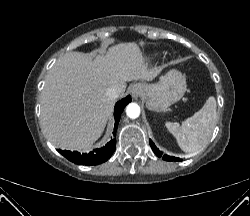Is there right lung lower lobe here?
I'll return each mask as SVG.
<instances>
[{
    "label": "right lung lower lobe",
    "instance_id": "obj_1",
    "mask_svg": "<svg viewBox=\"0 0 250 216\" xmlns=\"http://www.w3.org/2000/svg\"><path fill=\"white\" fill-rule=\"evenodd\" d=\"M131 102V97L127 96L126 98L118 101L115 105L114 116H115V127H114V136L116 134L117 126L120 120L121 113L125 106ZM116 146V139L114 138L108 142L104 147L99 149H94L92 152L86 154H80L79 152H71L66 150H58L60 154L66 157L73 163L79 165H96L107 161L113 154Z\"/></svg>",
    "mask_w": 250,
    "mask_h": 216
}]
</instances>
